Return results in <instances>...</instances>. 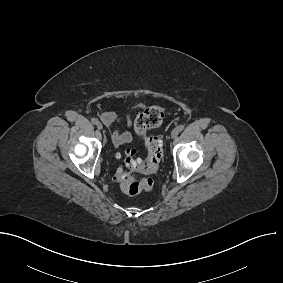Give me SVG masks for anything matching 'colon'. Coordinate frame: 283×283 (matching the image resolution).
<instances>
[{
    "label": "colon",
    "instance_id": "1",
    "mask_svg": "<svg viewBox=\"0 0 283 283\" xmlns=\"http://www.w3.org/2000/svg\"><path fill=\"white\" fill-rule=\"evenodd\" d=\"M165 115L164 107L151 106L136 117L134 129L136 134L143 139L147 155L145 158H139L135 156L134 150L127 149L123 158L126 168L143 175H151L157 171L163 156L162 140L158 136L148 135L147 132L160 126ZM115 180L119 183L121 190L130 196L149 191L153 187L151 178L136 179L123 168L116 171Z\"/></svg>",
    "mask_w": 283,
    "mask_h": 283
}]
</instances>
